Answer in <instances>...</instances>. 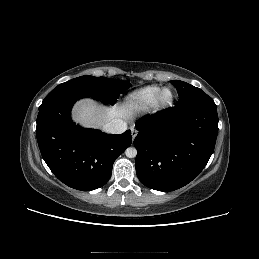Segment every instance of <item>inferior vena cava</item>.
<instances>
[{"instance_id": "obj_1", "label": "inferior vena cava", "mask_w": 259, "mask_h": 259, "mask_svg": "<svg viewBox=\"0 0 259 259\" xmlns=\"http://www.w3.org/2000/svg\"><path fill=\"white\" fill-rule=\"evenodd\" d=\"M103 130L110 134H121L127 130V124L122 119H114L105 124Z\"/></svg>"}]
</instances>
